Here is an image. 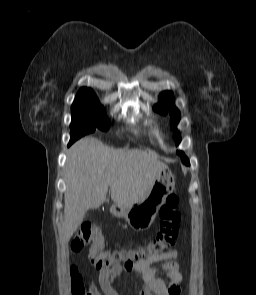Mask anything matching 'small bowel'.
I'll return each mask as SVG.
<instances>
[{"instance_id": "obj_1", "label": "small bowel", "mask_w": 256, "mask_h": 295, "mask_svg": "<svg viewBox=\"0 0 256 295\" xmlns=\"http://www.w3.org/2000/svg\"><path fill=\"white\" fill-rule=\"evenodd\" d=\"M178 256V251L173 250L156 258L134 262L129 268L116 265L110 269H101L98 277L99 286L104 295H120L113 286V281L124 269H127L139 278L140 295H180L183 277L176 262ZM157 263L161 264L156 266ZM160 273L165 274L166 280L159 276ZM89 291L94 295H101L94 281L90 282Z\"/></svg>"}]
</instances>
